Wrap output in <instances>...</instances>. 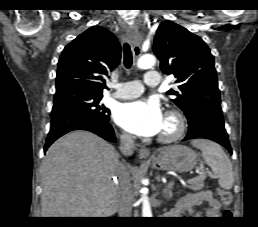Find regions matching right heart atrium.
<instances>
[{
  "label": "right heart atrium",
  "instance_id": "1",
  "mask_svg": "<svg viewBox=\"0 0 258 227\" xmlns=\"http://www.w3.org/2000/svg\"><path fill=\"white\" fill-rule=\"evenodd\" d=\"M121 138H122V140H124V141L130 140V136H129L127 133H123V134L121 135Z\"/></svg>",
  "mask_w": 258,
  "mask_h": 227
}]
</instances>
